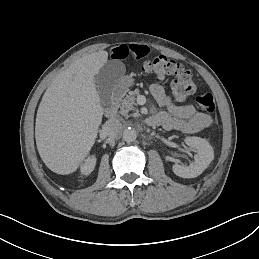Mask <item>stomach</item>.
<instances>
[{
	"instance_id": "1",
	"label": "stomach",
	"mask_w": 259,
	"mask_h": 259,
	"mask_svg": "<svg viewBox=\"0 0 259 259\" xmlns=\"http://www.w3.org/2000/svg\"><path fill=\"white\" fill-rule=\"evenodd\" d=\"M134 83V78L129 75H126L121 79L120 86L128 90L131 86L134 85Z\"/></svg>"
}]
</instances>
